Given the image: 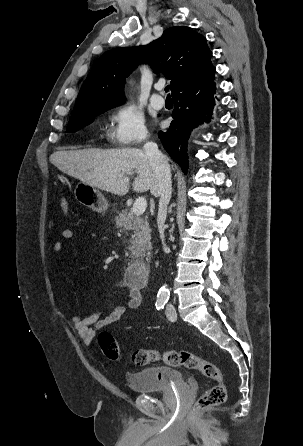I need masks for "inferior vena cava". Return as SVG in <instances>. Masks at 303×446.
Returning a JSON list of instances; mask_svg holds the SVG:
<instances>
[{"instance_id": "obj_1", "label": "inferior vena cava", "mask_w": 303, "mask_h": 446, "mask_svg": "<svg viewBox=\"0 0 303 446\" xmlns=\"http://www.w3.org/2000/svg\"><path fill=\"white\" fill-rule=\"evenodd\" d=\"M143 149L153 167L154 173L158 181V187H159L158 195L160 196V200H159L157 223H158V231L160 234V238L163 243V249L166 252L168 248L164 243V230H165L164 223L167 215V205L170 201L172 194L170 166L168 164L166 156L159 151L156 143L146 142L144 144Z\"/></svg>"}]
</instances>
